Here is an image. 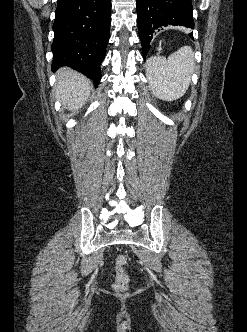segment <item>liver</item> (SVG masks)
Wrapping results in <instances>:
<instances>
[{
	"label": "liver",
	"mask_w": 247,
	"mask_h": 332,
	"mask_svg": "<svg viewBox=\"0 0 247 332\" xmlns=\"http://www.w3.org/2000/svg\"><path fill=\"white\" fill-rule=\"evenodd\" d=\"M91 89V81L82 74L68 68L58 71L54 91L65 108L79 109L87 101Z\"/></svg>",
	"instance_id": "liver-1"
}]
</instances>
